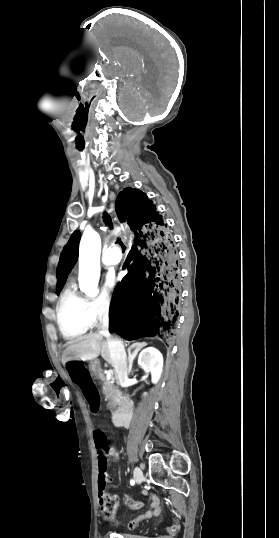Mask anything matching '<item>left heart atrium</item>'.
I'll return each mask as SVG.
<instances>
[{"mask_svg":"<svg viewBox=\"0 0 279 538\" xmlns=\"http://www.w3.org/2000/svg\"><path fill=\"white\" fill-rule=\"evenodd\" d=\"M117 282V278L115 275H109L106 280V286L108 289H113L115 284Z\"/></svg>","mask_w":279,"mask_h":538,"instance_id":"1","label":"left heart atrium"}]
</instances>
